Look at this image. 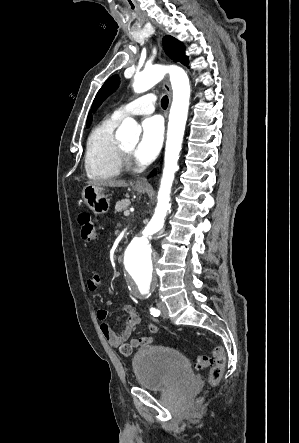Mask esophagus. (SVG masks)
<instances>
[{
    "mask_svg": "<svg viewBox=\"0 0 299 443\" xmlns=\"http://www.w3.org/2000/svg\"><path fill=\"white\" fill-rule=\"evenodd\" d=\"M163 87L166 90V92L168 93L169 98H171L172 91H171V87H170V84H169L168 80H165L163 82ZM136 185H138V186H146V187L150 186L149 183L147 182L146 178H144V177L139 178L136 181Z\"/></svg>",
    "mask_w": 299,
    "mask_h": 443,
    "instance_id": "obj_1",
    "label": "esophagus"
}]
</instances>
